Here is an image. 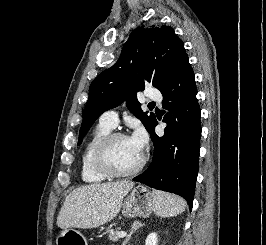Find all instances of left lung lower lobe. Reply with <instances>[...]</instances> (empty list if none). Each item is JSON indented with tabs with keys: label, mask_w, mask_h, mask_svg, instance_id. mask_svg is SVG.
Masks as SVG:
<instances>
[{
	"label": "left lung lower lobe",
	"mask_w": 266,
	"mask_h": 245,
	"mask_svg": "<svg viewBox=\"0 0 266 245\" xmlns=\"http://www.w3.org/2000/svg\"><path fill=\"white\" fill-rule=\"evenodd\" d=\"M160 92L163 95V108L169 110L164 117L168 126L165 135L158 137L154 131L158 124L155 117L148 130L155 146L152 162L133 181L178 194L187 200L191 209L199 168L201 111L188 57L180 62Z\"/></svg>",
	"instance_id": "left-lung-lower-lobe-1"
}]
</instances>
